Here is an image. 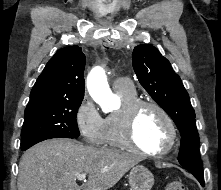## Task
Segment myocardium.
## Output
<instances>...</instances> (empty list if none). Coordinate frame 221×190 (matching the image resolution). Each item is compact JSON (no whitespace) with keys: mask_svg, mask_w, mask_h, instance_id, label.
Listing matches in <instances>:
<instances>
[{"mask_svg":"<svg viewBox=\"0 0 221 190\" xmlns=\"http://www.w3.org/2000/svg\"><path fill=\"white\" fill-rule=\"evenodd\" d=\"M143 107L154 108L165 120L169 129V139L165 147L159 150H146L139 147L134 139L133 127L137 113ZM120 137L123 146L135 153L144 156L158 157L168 154L174 147L177 141V129L172 117L158 103L151 100L137 99L132 102L124 103L118 112Z\"/></svg>","mask_w":221,"mask_h":190,"instance_id":"f54148a6","label":"myocardium"}]
</instances>
